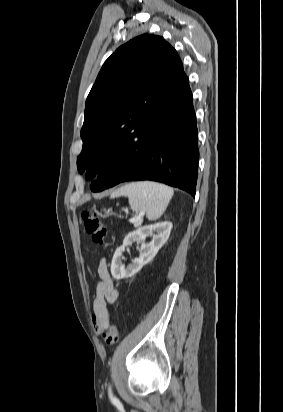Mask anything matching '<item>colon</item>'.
<instances>
[{"mask_svg":"<svg viewBox=\"0 0 283 412\" xmlns=\"http://www.w3.org/2000/svg\"><path fill=\"white\" fill-rule=\"evenodd\" d=\"M84 229L87 235L98 245H104L107 237V230L101 224L99 214L95 210H85L81 214ZM102 336L106 343L117 342L119 333L116 325L110 323L104 326Z\"/></svg>","mask_w":283,"mask_h":412,"instance_id":"1","label":"colon"}]
</instances>
